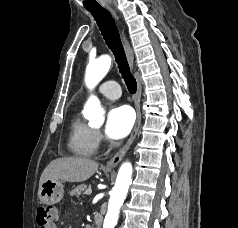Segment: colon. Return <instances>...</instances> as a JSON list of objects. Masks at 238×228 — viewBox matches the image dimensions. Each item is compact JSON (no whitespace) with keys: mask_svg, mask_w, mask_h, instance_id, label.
I'll return each instance as SVG.
<instances>
[{"mask_svg":"<svg viewBox=\"0 0 238 228\" xmlns=\"http://www.w3.org/2000/svg\"><path fill=\"white\" fill-rule=\"evenodd\" d=\"M58 217L54 206H41L37 210L36 223L39 228H50Z\"/></svg>","mask_w":238,"mask_h":228,"instance_id":"1","label":"colon"}]
</instances>
